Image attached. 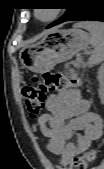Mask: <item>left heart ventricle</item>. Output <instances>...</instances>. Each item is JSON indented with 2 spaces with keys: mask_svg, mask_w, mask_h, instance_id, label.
Returning <instances> with one entry per match:
<instances>
[{
  "mask_svg": "<svg viewBox=\"0 0 104 169\" xmlns=\"http://www.w3.org/2000/svg\"><path fill=\"white\" fill-rule=\"evenodd\" d=\"M49 15H50V13L48 10H40L39 11V17H41L43 19L49 17Z\"/></svg>",
  "mask_w": 104,
  "mask_h": 169,
  "instance_id": "b2bd125f",
  "label": "left heart ventricle"
}]
</instances>
